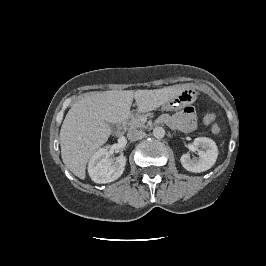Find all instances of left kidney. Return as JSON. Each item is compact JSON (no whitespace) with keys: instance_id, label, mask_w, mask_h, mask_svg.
<instances>
[{"instance_id":"5707ae66","label":"left kidney","mask_w":266,"mask_h":266,"mask_svg":"<svg viewBox=\"0 0 266 266\" xmlns=\"http://www.w3.org/2000/svg\"><path fill=\"white\" fill-rule=\"evenodd\" d=\"M194 146L200 148L198 151L199 158L191 159L189 154L181 156L182 166L190 172L200 173L210 169L218 157V148L216 143L207 137H198L194 139Z\"/></svg>"}]
</instances>
